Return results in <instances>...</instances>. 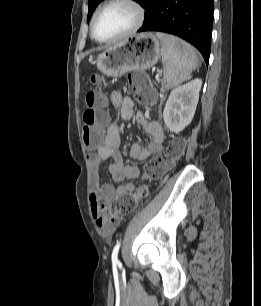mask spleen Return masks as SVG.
I'll use <instances>...</instances> for the list:
<instances>
[{
  "label": "spleen",
  "instance_id": "spleen-1",
  "mask_svg": "<svg viewBox=\"0 0 261 306\" xmlns=\"http://www.w3.org/2000/svg\"><path fill=\"white\" fill-rule=\"evenodd\" d=\"M162 49V63L164 77L162 85L171 89L186 81L198 66V59L194 48L185 41L165 33L157 32Z\"/></svg>",
  "mask_w": 261,
  "mask_h": 306
}]
</instances>
